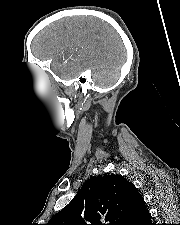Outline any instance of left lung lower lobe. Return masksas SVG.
<instances>
[{
  "mask_svg": "<svg viewBox=\"0 0 180 225\" xmlns=\"http://www.w3.org/2000/svg\"><path fill=\"white\" fill-rule=\"evenodd\" d=\"M150 217L151 215L146 209V207H143L131 218H129L124 225H154L151 222Z\"/></svg>",
  "mask_w": 180,
  "mask_h": 225,
  "instance_id": "0a47b994",
  "label": "left lung lower lobe"
}]
</instances>
